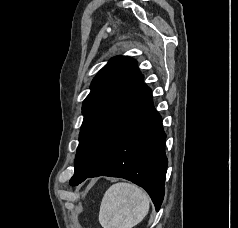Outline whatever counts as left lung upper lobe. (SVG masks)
Segmentation results:
<instances>
[{"label": "left lung upper lobe", "mask_w": 238, "mask_h": 228, "mask_svg": "<svg viewBox=\"0 0 238 228\" xmlns=\"http://www.w3.org/2000/svg\"><path fill=\"white\" fill-rule=\"evenodd\" d=\"M147 89L137 61L128 56L112 58L98 72L82 106L73 176L90 173L104 159Z\"/></svg>", "instance_id": "5c2ea615"}]
</instances>
